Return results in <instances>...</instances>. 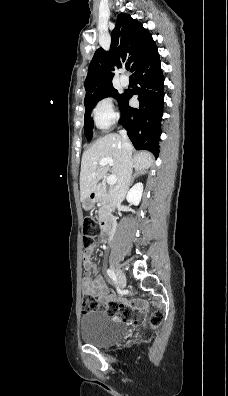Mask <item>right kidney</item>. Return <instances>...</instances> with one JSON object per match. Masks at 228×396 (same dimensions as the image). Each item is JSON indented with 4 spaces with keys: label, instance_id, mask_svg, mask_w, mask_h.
<instances>
[{
    "label": "right kidney",
    "instance_id": "ca27d5eb",
    "mask_svg": "<svg viewBox=\"0 0 228 396\" xmlns=\"http://www.w3.org/2000/svg\"><path fill=\"white\" fill-rule=\"evenodd\" d=\"M143 193V184L141 182L135 184L128 192L126 199L130 204L138 206Z\"/></svg>",
    "mask_w": 228,
    "mask_h": 396
}]
</instances>
